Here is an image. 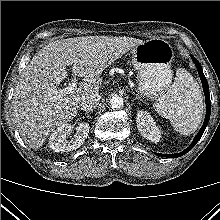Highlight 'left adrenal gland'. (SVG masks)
I'll list each match as a JSON object with an SVG mask.
<instances>
[{
  "label": "left adrenal gland",
  "mask_w": 220,
  "mask_h": 220,
  "mask_svg": "<svg viewBox=\"0 0 220 220\" xmlns=\"http://www.w3.org/2000/svg\"><path fill=\"white\" fill-rule=\"evenodd\" d=\"M140 97L136 95L135 99H139Z\"/></svg>",
  "instance_id": "1"
}]
</instances>
